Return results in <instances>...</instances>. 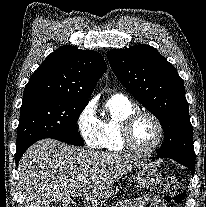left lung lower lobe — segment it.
<instances>
[{"label":"left lung lower lobe","mask_w":206,"mask_h":207,"mask_svg":"<svg viewBox=\"0 0 206 207\" xmlns=\"http://www.w3.org/2000/svg\"><path fill=\"white\" fill-rule=\"evenodd\" d=\"M175 161H177L178 163L188 167L191 170L192 174H194V172H195V163L188 162V161H181V160H175Z\"/></svg>","instance_id":"left-lung-lower-lobe-1"}]
</instances>
